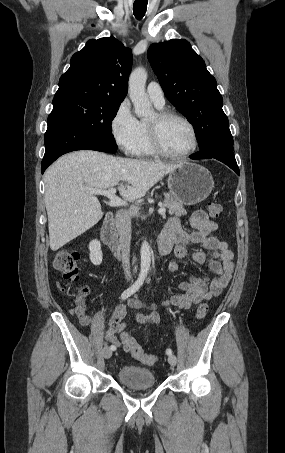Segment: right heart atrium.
I'll return each mask as SVG.
<instances>
[{
  "instance_id": "right-heart-atrium-1",
  "label": "right heart atrium",
  "mask_w": 285,
  "mask_h": 453,
  "mask_svg": "<svg viewBox=\"0 0 285 453\" xmlns=\"http://www.w3.org/2000/svg\"><path fill=\"white\" fill-rule=\"evenodd\" d=\"M111 134L123 153L134 155L140 136V121L134 116L128 103H122L111 121Z\"/></svg>"
}]
</instances>
